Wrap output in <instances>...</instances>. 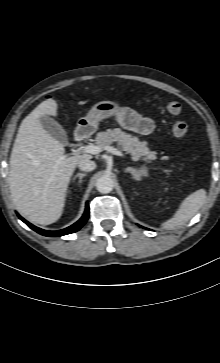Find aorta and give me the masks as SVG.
I'll return each mask as SVG.
<instances>
[{
	"label": "aorta",
	"mask_w": 220,
	"mask_h": 363,
	"mask_svg": "<svg viewBox=\"0 0 220 363\" xmlns=\"http://www.w3.org/2000/svg\"><path fill=\"white\" fill-rule=\"evenodd\" d=\"M113 187V180L108 176H102L96 182V189L102 194L110 193Z\"/></svg>",
	"instance_id": "obj_1"
}]
</instances>
